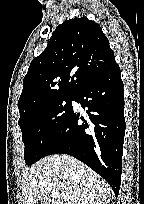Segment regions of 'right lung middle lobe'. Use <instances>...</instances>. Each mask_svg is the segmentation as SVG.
I'll return each mask as SVG.
<instances>
[{"instance_id":"right-lung-middle-lobe-1","label":"right lung middle lobe","mask_w":144,"mask_h":204,"mask_svg":"<svg viewBox=\"0 0 144 204\" xmlns=\"http://www.w3.org/2000/svg\"><path fill=\"white\" fill-rule=\"evenodd\" d=\"M74 96L55 97L20 116L18 124L25 145L26 164H34L44 157L49 144L73 111Z\"/></svg>"}]
</instances>
